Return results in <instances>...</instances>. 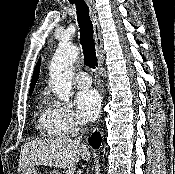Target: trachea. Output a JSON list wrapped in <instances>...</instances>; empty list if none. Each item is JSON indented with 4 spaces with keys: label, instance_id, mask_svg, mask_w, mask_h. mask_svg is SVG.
<instances>
[{
    "label": "trachea",
    "instance_id": "1",
    "mask_svg": "<svg viewBox=\"0 0 175 174\" xmlns=\"http://www.w3.org/2000/svg\"><path fill=\"white\" fill-rule=\"evenodd\" d=\"M73 1V2H71ZM77 8V20L80 28V41L84 54V62L92 69H96L97 56L93 38V24L89 16V7L84 0H70Z\"/></svg>",
    "mask_w": 175,
    "mask_h": 174
}]
</instances>
